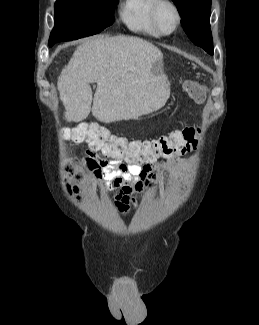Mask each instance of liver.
Instances as JSON below:
<instances>
[{"label":"liver","instance_id":"liver-1","mask_svg":"<svg viewBox=\"0 0 259 325\" xmlns=\"http://www.w3.org/2000/svg\"><path fill=\"white\" fill-rule=\"evenodd\" d=\"M162 59L160 49L138 37L85 40L58 77L66 120L80 122L92 111L100 122L112 123L159 110L170 95L155 68ZM93 82L97 83L94 98Z\"/></svg>","mask_w":259,"mask_h":325}]
</instances>
